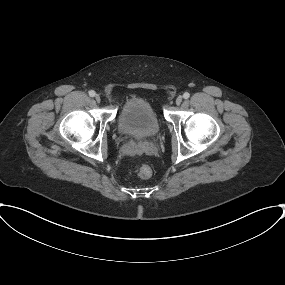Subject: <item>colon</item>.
I'll list each match as a JSON object with an SVG mask.
<instances>
[{
  "mask_svg": "<svg viewBox=\"0 0 285 285\" xmlns=\"http://www.w3.org/2000/svg\"><path fill=\"white\" fill-rule=\"evenodd\" d=\"M137 175L142 179H147L151 176V168L146 164H140L136 169Z\"/></svg>",
  "mask_w": 285,
  "mask_h": 285,
  "instance_id": "1",
  "label": "colon"
}]
</instances>
